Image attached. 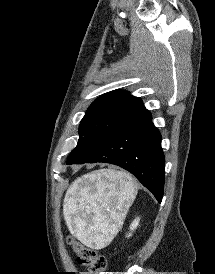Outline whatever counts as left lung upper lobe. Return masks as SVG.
Listing matches in <instances>:
<instances>
[{
    "label": "left lung upper lobe",
    "instance_id": "5c2ea615",
    "mask_svg": "<svg viewBox=\"0 0 215 274\" xmlns=\"http://www.w3.org/2000/svg\"><path fill=\"white\" fill-rule=\"evenodd\" d=\"M144 109L139 98L122 90L99 97L81 120L78 144L70 153L67 163L84 158L113 130Z\"/></svg>",
    "mask_w": 215,
    "mask_h": 274
}]
</instances>
